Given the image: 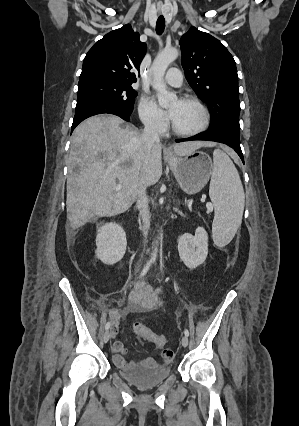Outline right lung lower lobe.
Segmentation results:
<instances>
[{"label":"right lung lower lobe","instance_id":"right-lung-lower-lobe-1","mask_svg":"<svg viewBox=\"0 0 299 426\" xmlns=\"http://www.w3.org/2000/svg\"><path fill=\"white\" fill-rule=\"evenodd\" d=\"M114 114L119 117H121L125 121H129V116L131 115L132 111H126L123 108L117 106L114 103L102 100V99H96V98H86L77 101L76 104V113L74 116L72 129L73 131L75 127L82 122L84 119L97 115V114Z\"/></svg>","mask_w":299,"mask_h":426}]
</instances>
